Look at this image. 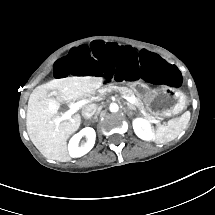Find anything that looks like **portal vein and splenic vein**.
<instances>
[{"instance_id": "portal-vein-and-splenic-vein-1", "label": "portal vein and splenic vein", "mask_w": 215, "mask_h": 215, "mask_svg": "<svg viewBox=\"0 0 215 215\" xmlns=\"http://www.w3.org/2000/svg\"><path fill=\"white\" fill-rule=\"evenodd\" d=\"M126 100L130 103H134L135 101V99H133L132 97H127ZM82 105L83 104L81 102L71 104L68 111H66L61 117L54 118L52 122H54L55 125L58 126L62 121L70 119L71 116L76 113Z\"/></svg>"}]
</instances>
